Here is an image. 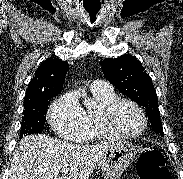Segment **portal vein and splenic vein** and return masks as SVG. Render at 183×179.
Returning <instances> with one entry per match:
<instances>
[{"mask_svg": "<svg viewBox=\"0 0 183 179\" xmlns=\"http://www.w3.org/2000/svg\"><path fill=\"white\" fill-rule=\"evenodd\" d=\"M68 171H69V169H68V168H64V169H62V170H61V173H62V174H67V173H68Z\"/></svg>", "mask_w": 183, "mask_h": 179, "instance_id": "obj_1", "label": "portal vein and splenic vein"}]
</instances>
